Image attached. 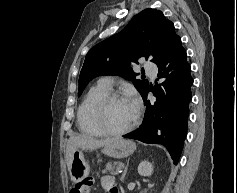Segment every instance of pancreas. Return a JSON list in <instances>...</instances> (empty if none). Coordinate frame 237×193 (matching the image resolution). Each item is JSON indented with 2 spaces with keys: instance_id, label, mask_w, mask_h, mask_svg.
I'll list each match as a JSON object with an SVG mask.
<instances>
[{
  "instance_id": "cf45deb5",
  "label": "pancreas",
  "mask_w": 237,
  "mask_h": 193,
  "mask_svg": "<svg viewBox=\"0 0 237 193\" xmlns=\"http://www.w3.org/2000/svg\"><path fill=\"white\" fill-rule=\"evenodd\" d=\"M123 163L122 162H108L106 164V168L102 171V173L109 172L111 175H117L119 171L122 169Z\"/></svg>"
}]
</instances>
